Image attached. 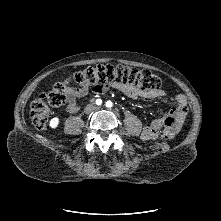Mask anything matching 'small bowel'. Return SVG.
<instances>
[{
  "instance_id": "obj_1",
  "label": "small bowel",
  "mask_w": 221,
  "mask_h": 221,
  "mask_svg": "<svg viewBox=\"0 0 221 221\" xmlns=\"http://www.w3.org/2000/svg\"><path fill=\"white\" fill-rule=\"evenodd\" d=\"M110 89H115L117 91L122 92L126 96L132 99H160L166 96V93L163 90H156V91H143L136 87L122 84L119 82H113L110 84L101 85L97 89H91L92 93L100 95L104 94ZM89 94L88 88H77L71 91L69 94L66 111L70 113H77L79 111V106L77 104V99L84 98ZM171 116L175 117L176 119V129L178 130L187 113V104L186 99L183 95L179 94L175 97V104L171 110ZM166 116H160L156 120L152 121L149 125L145 126L142 130L141 137L144 140H153L156 139L158 136L159 131L164 126V120Z\"/></svg>"
}]
</instances>
